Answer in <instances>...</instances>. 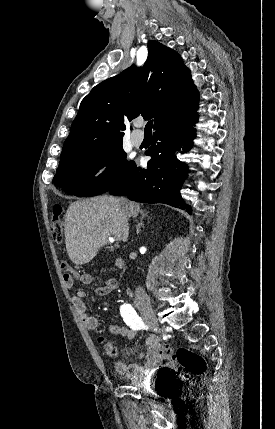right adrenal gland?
<instances>
[{
	"instance_id": "2a0ac1e0",
	"label": "right adrenal gland",
	"mask_w": 275,
	"mask_h": 429,
	"mask_svg": "<svg viewBox=\"0 0 275 429\" xmlns=\"http://www.w3.org/2000/svg\"><path fill=\"white\" fill-rule=\"evenodd\" d=\"M148 213L149 212H145L143 210L140 211V214H141L140 222L136 226V232H137V234H139L140 228L143 226V219L148 215Z\"/></svg>"
}]
</instances>
